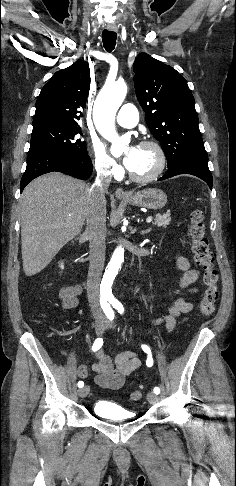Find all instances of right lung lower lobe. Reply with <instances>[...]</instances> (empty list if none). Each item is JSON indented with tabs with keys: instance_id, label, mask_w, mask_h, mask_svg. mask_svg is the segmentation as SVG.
<instances>
[{
	"instance_id": "obj_1",
	"label": "right lung lower lobe",
	"mask_w": 236,
	"mask_h": 486,
	"mask_svg": "<svg viewBox=\"0 0 236 486\" xmlns=\"http://www.w3.org/2000/svg\"><path fill=\"white\" fill-rule=\"evenodd\" d=\"M92 169L93 165L87 154L31 152L27 156V167L20 182V192L30 181L45 173L57 171L84 180L90 176Z\"/></svg>"
}]
</instances>
